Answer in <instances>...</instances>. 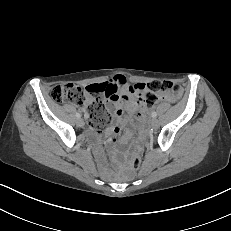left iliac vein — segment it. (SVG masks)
<instances>
[{
    "label": "left iliac vein",
    "mask_w": 231,
    "mask_h": 231,
    "mask_svg": "<svg viewBox=\"0 0 231 231\" xmlns=\"http://www.w3.org/2000/svg\"><path fill=\"white\" fill-rule=\"evenodd\" d=\"M159 126H160L159 120L153 119V120L151 121V127H152L153 129H158Z\"/></svg>",
    "instance_id": "left-iliac-vein-1"
}]
</instances>
